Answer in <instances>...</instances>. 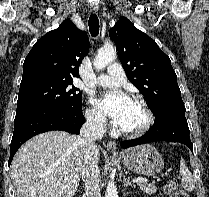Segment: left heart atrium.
Returning <instances> with one entry per match:
<instances>
[{
    "mask_svg": "<svg viewBox=\"0 0 209 197\" xmlns=\"http://www.w3.org/2000/svg\"><path fill=\"white\" fill-rule=\"evenodd\" d=\"M98 105L114 125L122 127L129 119L135 102L122 92L110 91L100 97Z\"/></svg>",
    "mask_w": 209,
    "mask_h": 197,
    "instance_id": "1",
    "label": "left heart atrium"
}]
</instances>
